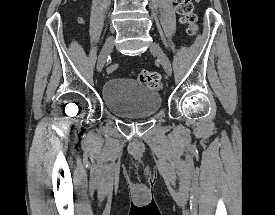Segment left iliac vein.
<instances>
[{"label":"left iliac vein","instance_id":"1","mask_svg":"<svg viewBox=\"0 0 275 215\" xmlns=\"http://www.w3.org/2000/svg\"><path fill=\"white\" fill-rule=\"evenodd\" d=\"M150 51H151L152 54H154L158 57V59L161 62V65L163 66L166 74L168 76H170L171 73H172L171 63H170L167 55L164 53V51L160 47V45L156 42H153L150 45Z\"/></svg>","mask_w":275,"mask_h":215}]
</instances>
